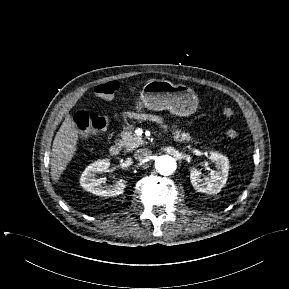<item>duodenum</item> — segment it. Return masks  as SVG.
Instances as JSON below:
<instances>
[{
  "mask_svg": "<svg viewBox=\"0 0 289 289\" xmlns=\"http://www.w3.org/2000/svg\"><path fill=\"white\" fill-rule=\"evenodd\" d=\"M110 154L112 156H118L121 152V145L119 143H114L111 147H110Z\"/></svg>",
  "mask_w": 289,
  "mask_h": 289,
  "instance_id": "obj_1",
  "label": "duodenum"
}]
</instances>
